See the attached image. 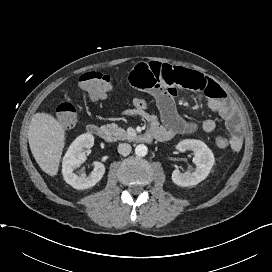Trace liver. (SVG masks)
<instances>
[{
	"label": "liver",
	"mask_w": 272,
	"mask_h": 272,
	"mask_svg": "<svg viewBox=\"0 0 272 272\" xmlns=\"http://www.w3.org/2000/svg\"><path fill=\"white\" fill-rule=\"evenodd\" d=\"M28 140L39 167L48 175L56 176L65 145V129L56 118L44 112L31 119Z\"/></svg>",
	"instance_id": "obj_1"
}]
</instances>
